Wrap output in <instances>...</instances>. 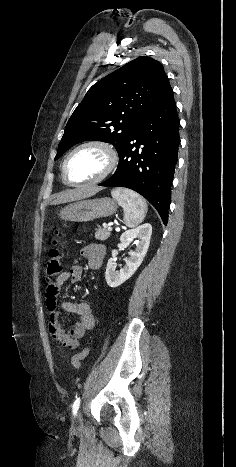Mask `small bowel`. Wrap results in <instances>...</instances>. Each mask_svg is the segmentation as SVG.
<instances>
[{
  "mask_svg": "<svg viewBox=\"0 0 236 467\" xmlns=\"http://www.w3.org/2000/svg\"><path fill=\"white\" fill-rule=\"evenodd\" d=\"M82 255L86 258L91 270H98L103 264L106 249L101 244H91L82 249ZM83 276V267L73 265L63 271L56 280L50 284L45 293L46 307L48 311V330L53 339L59 341L64 347L74 350L80 345L81 339L95 327V317L88 302L75 303L64 300L61 302L63 310L75 313L79 316L78 321L70 331H65L59 318L58 297L64 283L70 281L77 283Z\"/></svg>",
  "mask_w": 236,
  "mask_h": 467,
  "instance_id": "1",
  "label": "small bowel"
}]
</instances>
